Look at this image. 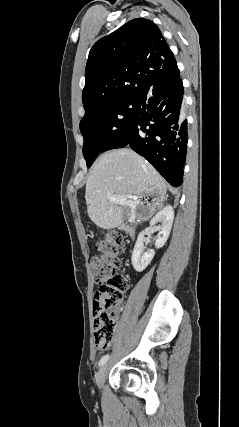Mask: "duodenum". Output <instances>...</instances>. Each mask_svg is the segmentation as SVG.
I'll return each instance as SVG.
<instances>
[{
    "label": "duodenum",
    "instance_id": "obj_1",
    "mask_svg": "<svg viewBox=\"0 0 239 427\" xmlns=\"http://www.w3.org/2000/svg\"><path fill=\"white\" fill-rule=\"evenodd\" d=\"M124 230L130 237H133V235H134V229L133 228L125 227Z\"/></svg>",
    "mask_w": 239,
    "mask_h": 427
}]
</instances>
